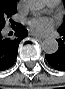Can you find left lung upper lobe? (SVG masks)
Masks as SVG:
<instances>
[{
	"instance_id": "left-lung-upper-lobe-1",
	"label": "left lung upper lobe",
	"mask_w": 65,
	"mask_h": 89,
	"mask_svg": "<svg viewBox=\"0 0 65 89\" xmlns=\"http://www.w3.org/2000/svg\"><path fill=\"white\" fill-rule=\"evenodd\" d=\"M58 32H63L65 33V17H64V21L63 24L59 27Z\"/></svg>"
}]
</instances>
